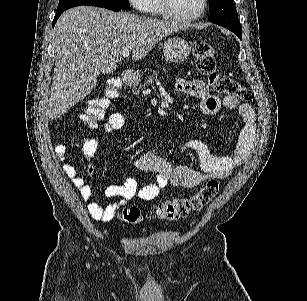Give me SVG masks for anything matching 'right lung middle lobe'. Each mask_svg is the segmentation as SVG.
<instances>
[{
	"label": "right lung middle lobe",
	"instance_id": "right-lung-middle-lobe-1",
	"mask_svg": "<svg viewBox=\"0 0 307 301\" xmlns=\"http://www.w3.org/2000/svg\"><path fill=\"white\" fill-rule=\"evenodd\" d=\"M79 5H92L98 7H114L130 10L128 0H60L56 13L63 12L69 8Z\"/></svg>",
	"mask_w": 307,
	"mask_h": 301
}]
</instances>
